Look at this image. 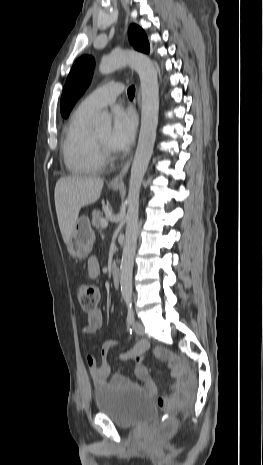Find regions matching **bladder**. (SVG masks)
<instances>
[{
	"label": "bladder",
	"instance_id": "31cf9c89",
	"mask_svg": "<svg viewBox=\"0 0 263 465\" xmlns=\"http://www.w3.org/2000/svg\"><path fill=\"white\" fill-rule=\"evenodd\" d=\"M97 411L124 428L150 422L157 415L154 401L140 390L108 386L94 395Z\"/></svg>",
	"mask_w": 263,
	"mask_h": 465
}]
</instances>
